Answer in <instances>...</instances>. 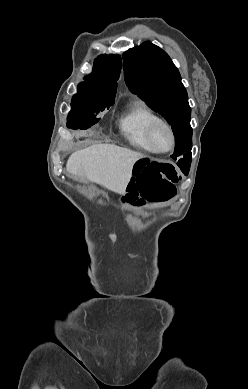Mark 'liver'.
<instances>
[{"mask_svg": "<svg viewBox=\"0 0 248 389\" xmlns=\"http://www.w3.org/2000/svg\"><path fill=\"white\" fill-rule=\"evenodd\" d=\"M144 155L113 144H96L74 152L66 169L76 179L102 185L124 194L132 177L133 165Z\"/></svg>", "mask_w": 248, "mask_h": 389, "instance_id": "liver-1", "label": "liver"}]
</instances>
